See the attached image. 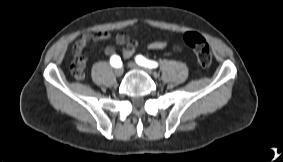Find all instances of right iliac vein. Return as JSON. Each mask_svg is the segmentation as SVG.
I'll return each instance as SVG.
<instances>
[{
	"label": "right iliac vein",
	"instance_id": "obj_1",
	"mask_svg": "<svg viewBox=\"0 0 283 162\" xmlns=\"http://www.w3.org/2000/svg\"><path fill=\"white\" fill-rule=\"evenodd\" d=\"M114 73L117 77H120L123 74V68L121 67L116 68Z\"/></svg>",
	"mask_w": 283,
	"mask_h": 162
}]
</instances>
